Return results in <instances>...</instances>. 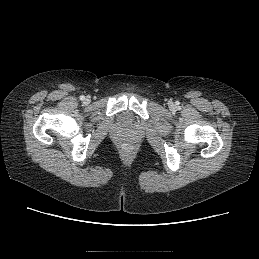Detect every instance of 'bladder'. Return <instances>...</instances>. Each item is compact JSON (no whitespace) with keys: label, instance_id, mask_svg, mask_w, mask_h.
I'll list each match as a JSON object with an SVG mask.
<instances>
[{"label":"bladder","instance_id":"bladder-1","mask_svg":"<svg viewBox=\"0 0 259 259\" xmlns=\"http://www.w3.org/2000/svg\"><path fill=\"white\" fill-rule=\"evenodd\" d=\"M122 120H123V121H126V120H127V117H126V116H123Z\"/></svg>","mask_w":259,"mask_h":259}]
</instances>
